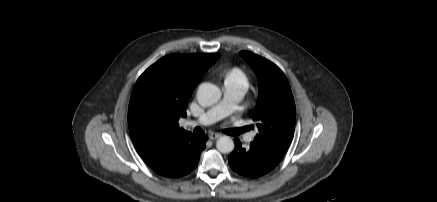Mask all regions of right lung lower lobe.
I'll return each mask as SVG.
<instances>
[{
  "mask_svg": "<svg viewBox=\"0 0 437 202\" xmlns=\"http://www.w3.org/2000/svg\"><path fill=\"white\" fill-rule=\"evenodd\" d=\"M207 138V135L189 137L179 150L154 167V171L168 178H179L191 173L198 165Z\"/></svg>",
  "mask_w": 437,
  "mask_h": 202,
  "instance_id": "right-lung-lower-lobe-1",
  "label": "right lung lower lobe"
}]
</instances>
